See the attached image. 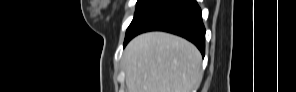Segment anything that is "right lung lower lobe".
Instances as JSON below:
<instances>
[{"label":"right lung lower lobe","instance_id":"obj_1","mask_svg":"<svg viewBox=\"0 0 296 92\" xmlns=\"http://www.w3.org/2000/svg\"><path fill=\"white\" fill-rule=\"evenodd\" d=\"M152 30L184 37L194 43L204 56L205 27L196 0H155L126 34L124 46L134 36Z\"/></svg>","mask_w":296,"mask_h":92}]
</instances>
